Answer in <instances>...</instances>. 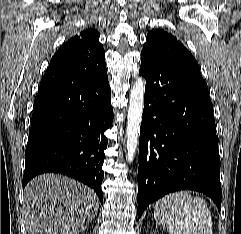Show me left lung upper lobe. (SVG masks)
<instances>
[{
    "mask_svg": "<svg viewBox=\"0 0 241 234\" xmlns=\"http://www.w3.org/2000/svg\"><path fill=\"white\" fill-rule=\"evenodd\" d=\"M142 52L173 69L201 76L198 63L192 54L176 37L162 29L148 32Z\"/></svg>",
    "mask_w": 241,
    "mask_h": 234,
    "instance_id": "obj_1",
    "label": "left lung upper lobe"
}]
</instances>
